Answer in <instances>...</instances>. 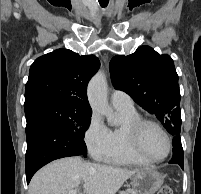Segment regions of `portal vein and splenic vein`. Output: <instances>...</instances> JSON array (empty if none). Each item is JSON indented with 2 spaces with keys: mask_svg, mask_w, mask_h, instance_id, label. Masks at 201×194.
I'll list each match as a JSON object with an SVG mask.
<instances>
[{
  "mask_svg": "<svg viewBox=\"0 0 201 194\" xmlns=\"http://www.w3.org/2000/svg\"><path fill=\"white\" fill-rule=\"evenodd\" d=\"M68 194H77V189H72L68 192Z\"/></svg>",
  "mask_w": 201,
  "mask_h": 194,
  "instance_id": "obj_1",
  "label": "portal vein and splenic vein"
}]
</instances>
